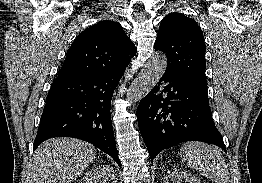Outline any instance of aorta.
<instances>
[{"label":"aorta","instance_id":"1","mask_svg":"<svg viewBox=\"0 0 262 183\" xmlns=\"http://www.w3.org/2000/svg\"><path fill=\"white\" fill-rule=\"evenodd\" d=\"M167 68L166 56L160 52L152 55L134 79L127 92V99L137 102L145 97L159 82Z\"/></svg>","mask_w":262,"mask_h":183}]
</instances>
